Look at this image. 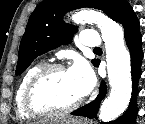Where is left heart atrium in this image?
<instances>
[{
	"instance_id": "obj_1",
	"label": "left heart atrium",
	"mask_w": 145,
	"mask_h": 124,
	"mask_svg": "<svg viewBox=\"0 0 145 124\" xmlns=\"http://www.w3.org/2000/svg\"><path fill=\"white\" fill-rule=\"evenodd\" d=\"M76 91L80 97L87 95L95 84L94 75L89 66L82 60H76L68 70Z\"/></svg>"
}]
</instances>
